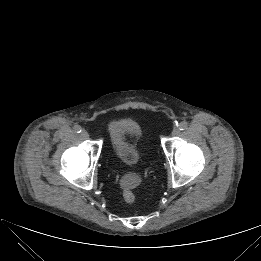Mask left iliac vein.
Masks as SVG:
<instances>
[{"label": "left iliac vein", "mask_w": 261, "mask_h": 261, "mask_svg": "<svg viewBox=\"0 0 261 261\" xmlns=\"http://www.w3.org/2000/svg\"><path fill=\"white\" fill-rule=\"evenodd\" d=\"M172 136H178L180 134V129L178 127H175L173 130H172Z\"/></svg>", "instance_id": "1"}]
</instances>
